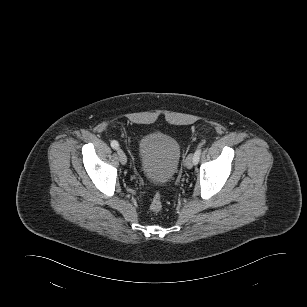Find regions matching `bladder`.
Wrapping results in <instances>:
<instances>
[{"instance_id":"31cf9c89","label":"bladder","mask_w":307,"mask_h":307,"mask_svg":"<svg viewBox=\"0 0 307 307\" xmlns=\"http://www.w3.org/2000/svg\"><path fill=\"white\" fill-rule=\"evenodd\" d=\"M138 160L148 181L165 185L177 172L181 148L178 141L168 134L150 133L143 136L138 143Z\"/></svg>"}]
</instances>
